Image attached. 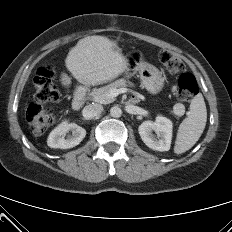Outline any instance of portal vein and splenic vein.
<instances>
[{"label": "portal vein and splenic vein", "mask_w": 232, "mask_h": 232, "mask_svg": "<svg viewBox=\"0 0 232 232\" xmlns=\"http://www.w3.org/2000/svg\"><path fill=\"white\" fill-rule=\"evenodd\" d=\"M118 94H119V90H117V89H113L110 92V96H112V97H116Z\"/></svg>", "instance_id": "1"}]
</instances>
